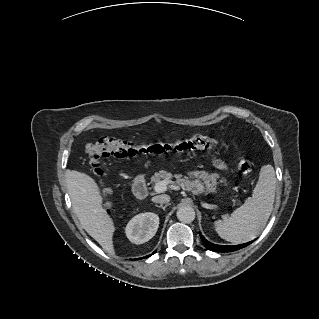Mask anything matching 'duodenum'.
Returning a JSON list of instances; mask_svg holds the SVG:
<instances>
[{
	"mask_svg": "<svg viewBox=\"0 0 319 319\" xmlns=\"http://www.w3.org/2000/svg\"><path fill=\"white\" fill-rule=\"evenodd\" d=\"M133 193L137 199H144L148 195V188L143 182L136 183L133 187Z\"/></svg>",
	"mask_w": 319,
	"mask_h": 319,
	"instance_id": "1",
	"label": "duodenum"
}]
</instances>
